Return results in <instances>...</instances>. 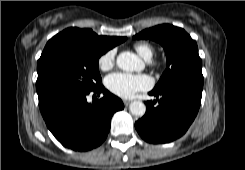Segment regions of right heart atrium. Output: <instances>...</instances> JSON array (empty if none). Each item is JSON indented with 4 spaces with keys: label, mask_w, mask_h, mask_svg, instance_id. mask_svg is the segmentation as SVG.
<instances>
[{
    "label": "right heart atrium",
    "mask_w": 245,
    "mask_h": 170,
    "mask_svg": "<svg viewBox=\"0 0 245 170\" xmlns=\"http://www.w3.org/2000/svg\"><path fill=\"white\" fill-rule=\"evenodd\" d=\"M116 52L115 50H109L102 54L98 59V65L101 70L110 69L115 62Z\"/></svg>",
    "instance_id": "right-heart-atrium-1"
}]
</instances>
